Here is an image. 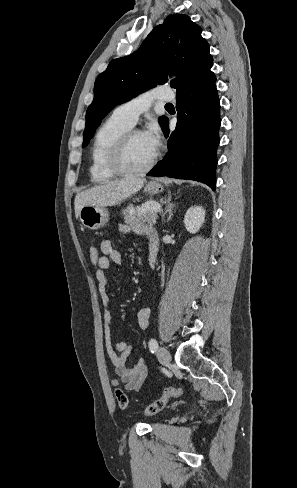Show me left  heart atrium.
I'll list each match as a JSON object with an SVG mask.
<instances>
[{
	"instance_id": "39dd6f15",
	"label": "left heart atrium",
	"mask_w": 297,
	"mask_h": 488,
	"mask_svg": "<svg viewBox=\"0 0 297 488\" xmlns=\"http://www.w3.org/2000/svg\"><path fill=\"white\" fill-rule=\"evenodd\" d=\"M143 136L151 149L156 153L162 142V136L159 126L156 123L150 124L147 130L143 132Z\"/></svg>"
}]
</instances>
